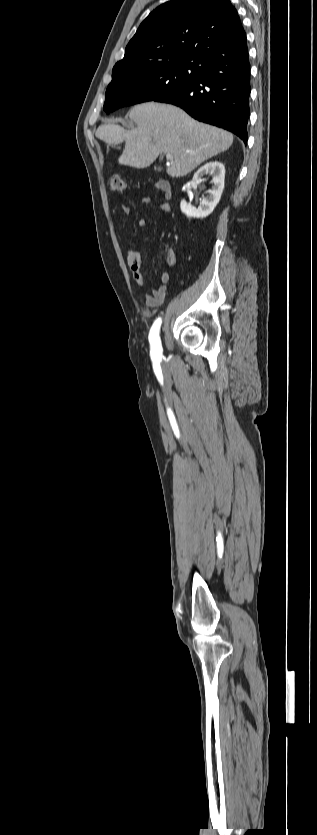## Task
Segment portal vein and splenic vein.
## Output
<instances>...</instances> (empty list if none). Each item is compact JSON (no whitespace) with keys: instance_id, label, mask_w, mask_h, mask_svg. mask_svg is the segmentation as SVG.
I'll list each match as a JSON object with an SVG mask.
<instances>
[{"instance_id":"18ae733b","label":"portal vein and splenic vein","mask_w":317,"mask_h":835,"mask_svg":"<svg viewBox=\"0 0 317 835\" xmlns=\"http://www.w3.org/2000/svg\"><path fill=\"white\" fill-rule=\"evenodd\" d=\"M171 158H172V154H170V153L167 154V159H171Z\"/></svg>"}]
</instances>
